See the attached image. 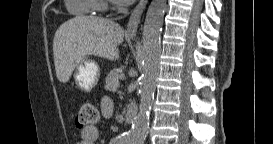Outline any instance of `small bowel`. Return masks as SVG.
I'll list each match as a JSON object with an SVG mask.
<instances>
[{"mask_svg":"<svg viewBox=\"0 0 273 144\" xmlns=\"http://www.w3.org/2000/svg\"><path fill=\"white\" fill-rule=\"evenodd\" d=\"M114 112L111 100L105 98L101 102V114L104 118H110ZM99 137V130L96 126H89L80 132V140L77 144H95Z\"/></svg>","mask_w":273,"mask_h":144,"instance_id":"obj_1","label":"small bowel"}]
</instances>
